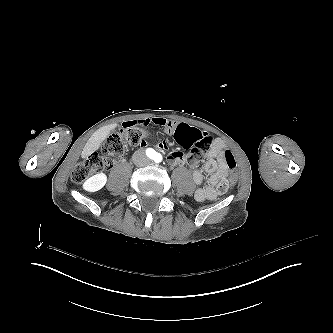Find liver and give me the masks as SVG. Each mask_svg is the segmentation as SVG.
<instances>
[{"label":"liver","mask_w":333,"mask_h":333,"mask_svg":"<svg viewBox=\"0 0 333 333\" xmlns=\"http://www.w3.org/2000/svg\"><path fill=\"white\" fill-rule=\"evenodd\" d=\"M117 125H118L117 123H113L110 125L100 127L98 130H96L85 144L83 151L81 153V157L85 159L88 156H90L92 153H94L96 150H98L101 143L109 135L110 131L114 130L117 127Z\"/></svg>","instance_id":"6515ba94"}]
</instances>
